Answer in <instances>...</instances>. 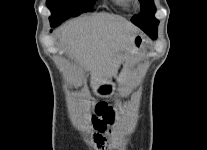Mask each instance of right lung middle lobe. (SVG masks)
I'll list each match as a JSON object with an SVG mask.
<instances>
[{"instance_id":"dd1d6c3e","label":"right lung middle lobe","mask_w":207,"mask_h":150,"mask_svg":"<svg viewBox=\"0 0 207 150\" xmlns=\"http://www.w3.org/2000/svg\"><path fill=\"white\" fill-rule=\"evenodd\" d=\"M94 2L95 0H47V6L52 12L50 22L59 25L69 17L89 11Z\"/></svg>"}]
</instances>
